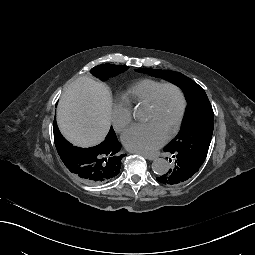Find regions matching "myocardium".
I'll list each match as a JSON object with an SVG mask.
<instances>
[{
    "label": "myocardium",
    "instance_id": "myocardium-1",
    "mask_svg": "<svg viewBox=\"0 0 255 255\" xmlns=\"http://www.w3.org/2000/svg\"><path fill=\"white\" fill-rule=\"evenodd\" d=\"M165 88L174 89L177 92L178 97H179V110H178L177 118H176V121H175V127L172 130V132L166 137V140H171L172 138H174L178 134V132L180 130L181 123H182L183 116H184V112H185V108H186V100H185V96H184V93H183L182 89L178 85H176L172 82L162 83L154 90V92L152 93V95H151L149 101L147 102L146 106L150 109L154 108L157 104L159 94Z\"/></svg>",
    "mask_w": 255,
    "mask_h": 255
}]
</instances>
